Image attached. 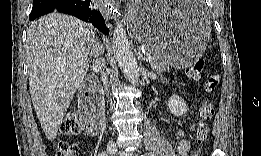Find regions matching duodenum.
<instances>
[{"label": "duodenum", "instance_id": "duodenum-1", "mask_svg": "<svg viewBox=\"0 0 261 156\" xmlns=\"http://www.w3.org/2000/svg\"><path fill=\"white\" fill-rule=\"evenodd\" d=\"M80 115L83 121L101 124L102 103L99 83L96 79L87 82L79 102Z\"/></svg>", "mask_w": 261, "mask_h": 156}]
</instances>
